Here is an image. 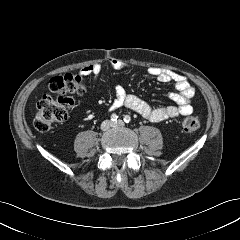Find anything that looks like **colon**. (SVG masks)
Segmentation results:
<instances>
[{
  "label": "colon",
  "mask_w": 240,
  "mask_h": 240,
  "mask_svg": "<svg viewBox=\"0 0 240 240\" xmlns=\"http://www.w3.org/2000/svg\"><path fill=\"white\" fill-rule=\"evenodd\" d=\"M49 88L53 96H43L35 107L34 127L40 132L49 130L56 123L64 122L73 107V100L69 95H80L85 91L82 77L72 73L51 78ZM199 128L200 120L196 116H187L182 121L185 133H194Z\"/></svg>",
  "instance_id": "1"
}]
</instances>
